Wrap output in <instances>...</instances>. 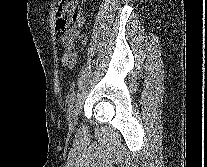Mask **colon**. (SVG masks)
I'll return each instance as SVG.
<instances>
[{
  "mask_svg": "<svg viewBox=\"0 0 207 167\" xmlns=\"http://www.w3.org/2000/svg\"><path fill=\"white\" fill-rule=\"evenodd\" d=\"M80 4V0H62L57 10L56 28L62 41L68 45H73L81 37Z\"/></svg>",
  "mask_w": 207,
  "mask_h": 167,
  "instance_id": "5ec220e1",
  "label": "colon"
}]
</instances>
